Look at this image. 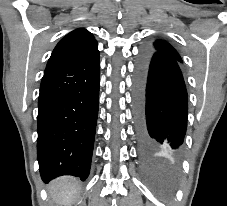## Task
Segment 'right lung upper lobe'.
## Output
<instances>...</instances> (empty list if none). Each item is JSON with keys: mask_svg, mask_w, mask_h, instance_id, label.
<instances>
[{"mask_svg": "<svg viewBox=\"0 0 227 206\" xmlns=\"http://www.w3.org/2000/svg\"><path fill=\"white\" fill-rule=\"evenodd\" d=\"M97 41L85 29H76L63 37L48 60L44 74L84 64L99 57Z\"/></svg>", "mask_w": 227, "mask_h": 206, "instance_id": "right-lung-upper-lobe-1", "label": "right lung upper lobe"}]
</instances>
